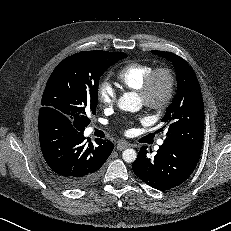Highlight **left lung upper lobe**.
Here are the masks:
<instances>
[{"label": "left lung upper lobe", "mask_w": 231, "mask_h": 231, "mask_svg": "<svg viewBox=\"0 0 231 231\" xmlns=\"http://www.w3.org/2000/svg\"><path fill=\"white\" fill-rule=\"evenodd\" d=\"M153 53L171 61L177 72V95L161 120L168 129L164 143L201 150L204 137V104L197 77L192 67L181 57L157 50Z\"/></svg>", "instance_id": "obj_1"}]
</instances>
